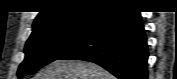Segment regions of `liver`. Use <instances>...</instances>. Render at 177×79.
<instances>
[{"mask_svg": "<svg viewBox=\"0 0 177 79\" xmlns=\"http://www.w3.org/2000/svg\"><path fill=\"white\" fill-rule=\"evenodd\" d=\"M34 79H113V76L92 62L56 60L41 69Z\"/></svg>", "mask_w": 177, "mask_h": 79, "instance_id": "obj_1", "label": "liver"}]
</instances>
